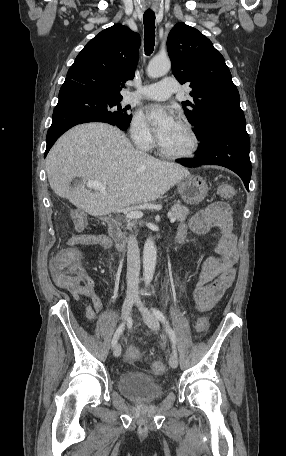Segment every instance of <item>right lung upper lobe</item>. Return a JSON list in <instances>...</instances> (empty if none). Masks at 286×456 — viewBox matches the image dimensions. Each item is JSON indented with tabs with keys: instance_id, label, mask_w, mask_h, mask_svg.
<instances>
[{
	"instance_id": "1",
	"label": "right lung upper lobe",
	"mask_w": 286,
	"mask_h": 456,
	"mask_svg": "<svg viewBox=\"0 0 286 456\" xmlns=\"http://www.w3.org/2000/svg\"><path fill=\"white\" fill-rule=\"evenodd\" d=\"M140 36L121 24L90 40L76 57L62 87H79L101 99L121 100L120 90L134 77Z\"/></svg>"
}]
</instances>
